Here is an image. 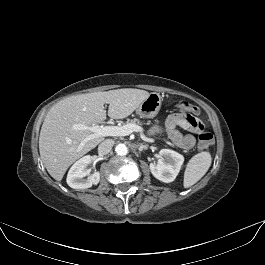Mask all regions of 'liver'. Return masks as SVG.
I'll list each match as a JSON object with an SVG mask.
<instances>
[{
	"label": "liver",
	"mask_w": 265,
	"mask_h": 265,
	"mask_svg": "<svg viewBox=\"0 0 265 265\" xmlns=\"http://www.w3.org/2000/svg\"><path fill=\"white\" fill-rule=\"evenodd\" d=\"M149 94L145 90L124 88L71 96L52 106L44 119L39 137V152L48 173L61 181L72 163L104 140L103 137H94L86 141L92 133L74 130L73 124L91 126L103 122L107 115L104 104H109L110 118H126Z\"/></svg>",
	"instance_id": "1"
}]
</instances>
